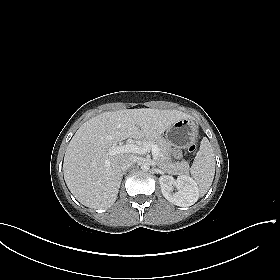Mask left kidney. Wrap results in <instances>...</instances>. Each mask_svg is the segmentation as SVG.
Listing matches in <instances>:
<instances>
[{
  "mask_svg": "<svg viewBox=\"0 0 280 280\" xmlns=\"http://www.w3.org/2000/svg\"><path fill=\"white\" fill-rule=\"evenodd\" d=\"M161 192L171 203L177 206H191L199 198L197 183L187 175H180L177 179L164 175L159 178ZM174 188L177 189L174 192Z\"/></svg>",
  "mask_w": 280,
  "mask_h": 280,
  "instance_id": "5707ae66",
  "label": "left kidney"
}]
</instances>
